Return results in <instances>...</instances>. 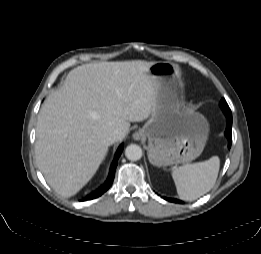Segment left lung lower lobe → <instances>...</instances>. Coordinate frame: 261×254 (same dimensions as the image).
<instances>
[{
    "mask_svg": "<svg viewBox=\"0 0 261 254\" xmlns=\"http://www.w3.org/2000/svg\"><path fill=\"white\" fill-rule=\"evenodd\" d=\"M224 113H225V115L227 117V120H228L227 128L225 130V134H226V136H227V138L229 140L228 148L230 149L231 143H232V114L228 113V112H224ZM164 199L167 200V201H170V202H174V203H182V201L177 200V199L165 198V197H164Z\"/></svg>",
    "mask_w": 261,
    "mask_h": 254,
    "instance_id": "0a47b994",
    "label": "left lung lower lobe"
}]
</instances>
